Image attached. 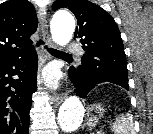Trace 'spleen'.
<instances>
[{"label": "spleen", "mask_w": 153, "mask_h": 134, "mask_svg": "<svg viewBox=\"0 0 153 134\" xmlns=\"http://www.w3.org/2000/svg\"><path fill=\"white\" fill-rule=\"evenodd\" d=\"M111 130L114 134H135L131 113L120 114L113 123Z\"/></svg>", "instance_id": "3e777b00"}]
</instances>
